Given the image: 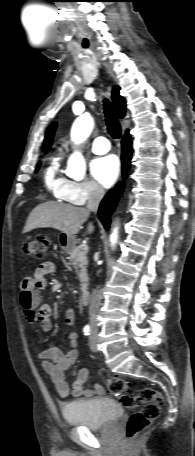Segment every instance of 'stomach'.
I'll return each mask as SVG.
<instances>
[{
	"label": "stomach",
	"instance_id": "obj_1",
	"mask_svg": "<svg viewBox=\"0 0 195 456\" xmlns=\"http://www.w3.org/2000/svg\"><path fill=\"white\" fill-rule=\"evenodd\" d=\"M60 241V246L65 250V251H70L75 247V237L74 236H69L65 233L60 234L59 237Z\"/></svg>",
	"mask_w": 195,
	"mask_h": 456
}]
</instances>
